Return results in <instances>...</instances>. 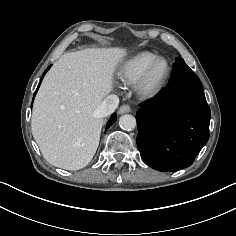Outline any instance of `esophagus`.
Returning a JSON list of instances; mask_svg holds the SVG:
<instances>
[{"instance_id": "1", "label": "esophagus", "mask_w": 236, "mask_h": 236, "mask_svg": "<svg viewBox=\"0 0 236 236\" xmlns=\"http://www.w3.org/2000/svg\"><path fill=\"white\" fill-rule=\"evenodd\" d=\"M131 111V108L129 105H122L119 110H118V113L119 114H124V113H128Z\"/></svg>"}]
</instances>
